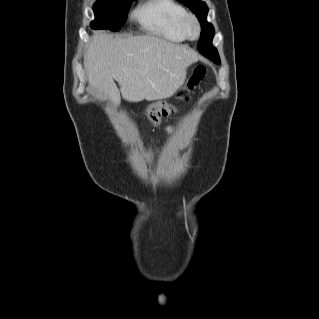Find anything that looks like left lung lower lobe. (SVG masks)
<instances>
[{"instance_id":"1","label":"left lung lower lobe","mask_w":319,"mask_h":319,"mask_svg":"<svg viewBox=\"0 0 319 319\" xmlns=\"http://www.w3.org/2000/svg\"><path fill=\"white\" fill-rule=\"evenodd\" d=\"M208 45H212V42L210 41ZM199 49H201L200 52H201L205 57L211 59V60H212L213 62H215V63L218 61V59H219V56H218V55H216V56L210 55L208 52H206L205 50L202 49V46H201V45H199ZM217 64H218V63H217Z\"/></svg>"}]
</instances>
